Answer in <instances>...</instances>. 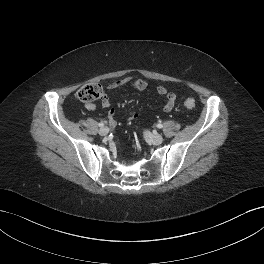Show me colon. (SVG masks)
Listing matches in <instances>:
<instances>
[{
	"mask_svg": "<svg viewBox=\"0 0 264 264\" xmlns=\"http://www.w3.org/2000/svg\"><path fill=\"white\" fill-rule=\"evenodd\" d=\"M103 93V88L100 84L90 83L82 86L78 90L77 97L82 102L90 103L102 98ZM184 106L188 109H193L196 106L195 100L192 98L186 99Z\"/></svg>",
	"mask_w": 264,
	"mask_h": 264,
	"instance_id": "1",
	"label": "colon"
}]
</instances>
